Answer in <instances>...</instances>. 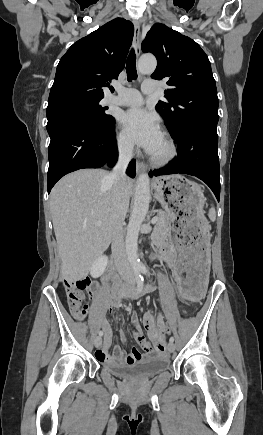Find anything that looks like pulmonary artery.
<instances>
[{
    "label": "pulmonary artery",
    "mask_w": 263,
    "mask_h": 435,
    "mask_svg": "<svg viewBox=\"0 0 263 435\" xmlns=\"http://www.w3.org/2000/svg\"><path fill=\"white\" fill-rule=\"evenodd\" d=\"M117 95L108 97L107 102L120 106L137 107L143 104V94H152L156 91V83L154 81H145L142 84L141 92L136 89L117 87Z\"/></svg>",
    "instance_id": "1"
}]
</instances>
